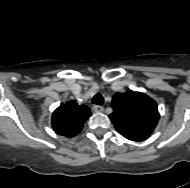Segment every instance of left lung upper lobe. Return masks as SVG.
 Returning a JSON list of instances; mask_svg holds the SVG:
<instances>
[{"label": "left lung upper lobe", "instance_id": "left-lung-upper-lobe-1", "mask_svg": "<svg viewBox=\"0 0 190 188\" xmlns=\"http://www.w3.org/2000/svg\"><path fill=\"white\" fill-rule=\"evenodd\" d=\"M112 108L114 111L109 118L117 131L150 136L159 120L156 102L141 92L128 90L117 93L112 100Z\"/></svg>", "mask_w": 190, "mask_h": 188}]
</instances>
